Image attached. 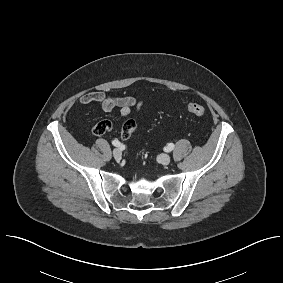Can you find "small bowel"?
Returning <instances> with one entry per match:
<instances>
[{
  "instance_id": "small-bowel-1",
  "label": "small bowel",
  "mask_w": 283,
  "mask_h": 283,
  "mask_svg": "<svg viewBox=\"0 0 283 283\" xmlns=\"http://www.w3.org/2000/svg\"><path fill=\"white\" fill-rule=\"evenodd\" d=\"M80 104L83 106L97 104L105 112H112L114 109L120 108V114L126 121L117 132V135L122 139H127L134 134L137 129L136 122L128 119V117L132 109L140 110L143 102L131 96H110L101 91H93L84 94L80 98ZM129 122H134L135 125L129 124Z\"/></svg>"
}]
</instances>
